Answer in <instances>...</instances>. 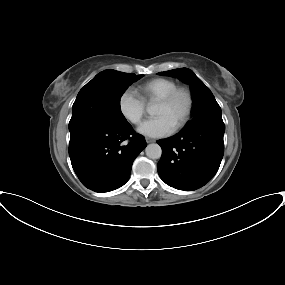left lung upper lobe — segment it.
I'll list each match as a JSON object with an SVG mask.
<instances>
[{
    "label": "left lung upper lobe",
    "instance_id": "obj_1",
    "mask_svg": "<svg viewBox=\"0 0 285 285\" xmlns=\"http://www.w3.org/2000/svg\"><path fill=\"white\" fill-rule=\"evenodd\" d=\"M158 74L177 77L190 85L193 97V119L189 121L182 130L189 129L197 123L206 120L223 121L221 117V108L216 102L212 92L192 70L180 68L159 72Z\"/></svg>",
    "mask_w": 285,
    "mask_h": 285
}]
</instances>
